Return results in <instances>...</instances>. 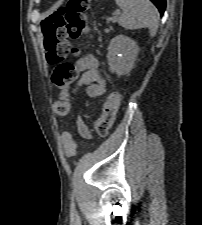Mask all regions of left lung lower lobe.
<instances>
[{
  "label": "left lung lower lobe",
  "mask_w": 202,
  "mask_h": 225,
  "mask_svg": "<svg viewBox=\"0 0 202 225\" xmlns=\"http://www.w3.org/2000/svg\"><path fill=\"white\" fill-rule=\"evenodd\" d=\"M152 1L158 10L160 11V14L163 15L165 7H166V0H150Z\"/></svg>",
  "instance_id": "obj_1"
}]
</instances>
